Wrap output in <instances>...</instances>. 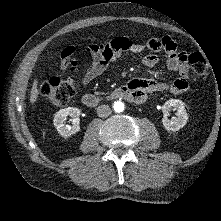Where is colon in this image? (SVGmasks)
<instances>
[{
  "label": "colon",
  "mask_w": 221,
  "mask_h": 221,
  "mask_svg": "<svg viewBox=\"0 0 221 221\" xmlns=\"http://www.w3.org/2000/svg\"><path fill=\"white\" fill-rule=\"evenodd\" d=\"M187 63L195 74L205 79L208 76V67L203 55L195 52L186 56ZM78 65L77 51L74 47H68L61 53V66L65 70H75ZM76 92L75 81L68 78L52 77L40 86V93L53 105L64 106Z\"/></svg>",
  "instance_id": "obj_1"
}]
</instances>
